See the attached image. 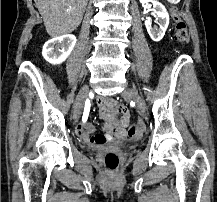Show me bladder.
<instances>
[{
	"label": "bladder",
	"mask_w": 217,
	"mask_h": 202,
	"mask_svg": "<svg viewBox=\"0 0 217 202\" xmlns=\"http://www.w3.org/2000/svg\"><path fill=\"white\" fill-rule=\"evenodd\" d=\"M111 146H112L113 149H119V148H121V147L124 146V143H123V144H120V143L112 142V143H111Z\"/></svg>",
	"instance_id": "bladder-1"
}]
</instances>
